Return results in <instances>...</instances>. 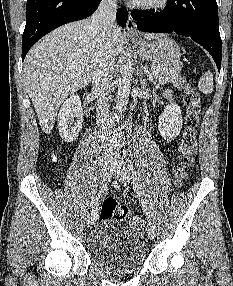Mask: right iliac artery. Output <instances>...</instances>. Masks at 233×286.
<instances>
[{
	"instance_id": "82829eb1",
	"label": "right iliac artery",
	"mask_w": 233,
	"mask_h": 286,
	"mask_svg": "<svg viewBox=\"0 0 233 286\" xmlns=\"http://www.w3.org/2000/svg\"><path fill=\"white\" fill-rule=\"evenodd\" d=\"M106 188H107V184H106V183H102V184L100 185L99 191H98L96 197L93 199V201H92V203H91V204H92V208H94V207L98 204V202H99V200H100L102 194H103L104 191L106 190Z\"/></svg>"
}]
</instances>
